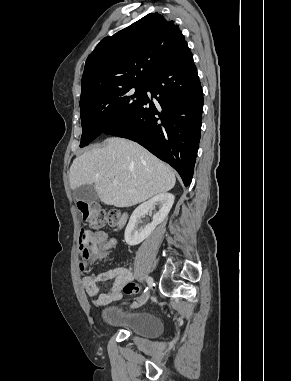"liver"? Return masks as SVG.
I'll list each match as a JSON object with an SVG mask.
<instances>
[{
  "instance_id": "6515ba94",
  "label": "liver",
  "mask_w": 291,
  "mask_h": 381,
  "mask_svg": "<svg viewBox=\"0 0 291 381\" xmlns=\"http://www.w3.org/2000/svg\"><path fill=\"white\" fill-rule=\"evenodd\" d=\"M113 179L117 185H113ZM69 180L73 190L94 185L101 202L119 208L166 193L176 182L169 166L139 144L116 137L108 138L104 147L76 157Z\"/></svg>"
}]
</instances>
